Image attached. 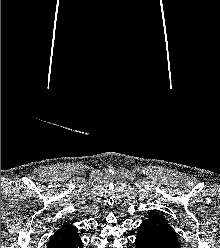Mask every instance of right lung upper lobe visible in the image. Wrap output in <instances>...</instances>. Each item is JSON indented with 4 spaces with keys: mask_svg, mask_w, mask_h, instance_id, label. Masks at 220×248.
<instances>
[{
    "mask_svg": "<svg viewBox=\"0 0 220 248\" xmlns=\"http://www.w3.org/2000/svg\"><path fill=\"white\" fill-rule=\"evenodd\" d=\"M78 236V229L71 224L64 225L51 236L47 248H56V246L71 240Z\"/></svg>",
    "mask_w": 220,
    "mask_h": 248,
    "instance_id": "1",
    "label": "right lung upper lobe"
}]
</instances>
